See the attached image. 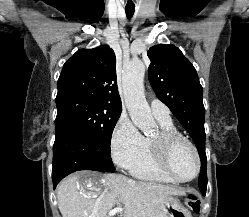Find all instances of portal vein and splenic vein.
<instances>
[{
	"instance_id": "18ae733b",
	"label": "portal vein and splenic vein",
	"mask_w": 249,
	"mask_h": 217,
	"mask_svg": "<svg viewBox=\"0 0 249 217\" xmlns=\"http://www.w3.org/2000/svg\"><path fill=\"white\" fill-rule=\"evenodd\" d=\"M123 211V209L121 207H117V208H114L113 210H111L109 212V215L110 216H113L114 214H116L117 212L121 213Z\"/></svg>"
}]
</instances>
